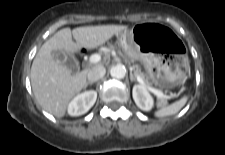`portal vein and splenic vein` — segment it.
<instances>
[{"instance_id": "18ae733b", "label": "portal vein and splenic vein", "mask_w": 225, "mask_h": 155, "mask_svg": "<svg viewBox=\"0 0 225 155\" xmlns=\"http://www.w3.org/2000/svg\"><path fill=\"white\" fill-rule=\"evenodd\" d=\"M100 60H101V56H100L99 54H93V55H91V56L89 57V62H90V63H97V62H99ZM136 77H137V80H138L139 83H141L142 85L147 86V85L145 84V82L143 81V79H142L140 76H136ZM147 87H148V89H149L153 94H155L156 96H158V97H163L162 92H160L159 90H157V89H155V88H153V87H150V86H147Z\"/></svg>"}]
</instances>
